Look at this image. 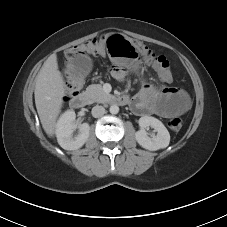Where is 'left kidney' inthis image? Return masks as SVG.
Listing matches in <instances>:
<instances>
[{
	"instance_id": "1",
	"label": "left kidney",
	"mask_w": 227,
	"mask_h": 227,
	"mask_svg": "<svg viewBox=\"0 0 227 227\" xmlns=\"http://www.w3.org/2000/svg\"><path fill=\"white\" fill-rule=\"evenodd\" d=\"M140 130L135 133V139L143 148L156 151L166 148L170 142V134L164 124L151 116H143L138 121ZM151 127L157 132V135L148 136L146 128Z\"/></svg>"
}]
</instances>
